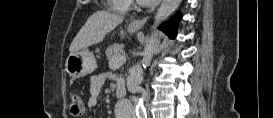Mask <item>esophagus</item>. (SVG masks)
Here are the masks:
<instances>
[{
	"label": "esophagus",
	"mask_w": 273,
	"mask_h": 118,
	"mask_svg": "<svg viewBox=\"0 0 273 118\" xmlns=\"http://www.w3.org/2000/svg\"><path fill=\"white\" fill-rule=\"evenodd\" d=\"M147 22V18L133 20L130 24L135 29H140Z\"/></svg>",
	"instance_id": "esophagus-1"
}]
</instances>
